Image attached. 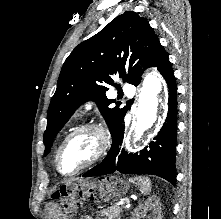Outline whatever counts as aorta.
Listing matches in <instances>:
<instances>
[{"label": "aorta", "mask_w": 221, "mask_h": 219, "mask_svg": "<svg viewBox=\"0 0 221 219\" xmlns=\"http://www.w3.org/2000/svg\"><path fill=\"white\" fill-rule=\"evenodd\" d=\"M164 94L165 87L161 79L153 73H147L139 95L136 121L132 127L134 143L156 122Z\"/></svg>", "instance_id": "762f6f07"}]
</instances>
